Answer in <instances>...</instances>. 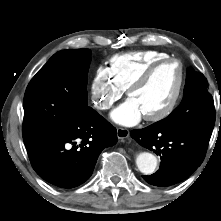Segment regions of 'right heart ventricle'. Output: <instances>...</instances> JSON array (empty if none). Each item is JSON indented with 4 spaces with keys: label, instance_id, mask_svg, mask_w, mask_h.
I'll return each mask as SVG.
<instances>
[{
    "label": "right heart ventricle",
    "instance_id": "right-heart-ventricle-1",
    "mask_svg": "<svg viewBox=\"0 0 221 221\" xmlns=\"http://www.w3.org/2000/svg\"><path fill=\"white\" fill-rule=\"evenodd\" d=\"M169 57V54L157 50L116 54L109 60L108 69L114 80L126 90L148 66Z\"/></svg>",
    "mask_w": 221,
    "mask_h": 221
}]
</instances>
